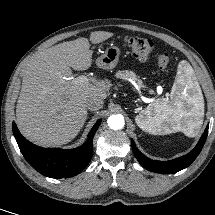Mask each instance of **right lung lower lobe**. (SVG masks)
<instances>
[{
	"mask_svg": "<svg viewBox=\"0 0 215 215\" xmlns=\"http://www.w3.org/2000/svg\"><path fill=\"white\" fill-rule=\"evenodd\" d=\"M100 122H96L82 146L70 150L36 146L20 134L14 122L12 128L21 153L35 170L51 178H68L77 175L89 164L93 137Z\"/></svg>",
	"mask_w": 215,
	"mask_h": 215,
	"instance_id": "obj_1",
	"label": "right lung lower lobe"
}]
</instances>
